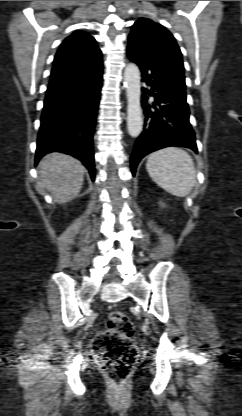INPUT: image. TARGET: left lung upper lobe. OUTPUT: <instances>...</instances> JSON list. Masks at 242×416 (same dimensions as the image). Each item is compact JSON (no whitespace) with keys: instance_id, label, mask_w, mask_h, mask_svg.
<instances>
[{"instance_id":"1","label":"left lung upper lobe","mask_w":242,"mask_h":416,"mask_svg":"<svg viewBox=\"0 0 242 416\" xmlns=\"http://www.w3.org/2000/svg\"><path fill=\"white\" fill-rule=\"evenodd\" d=\"M129 44L150 54L162 64L172 79L185 88L181 51L172 34L163 26L147 18H140L132 26Z\"/></svg>"}]
</instances>
